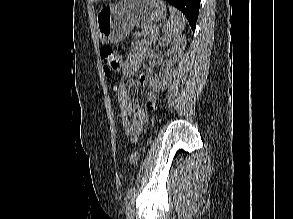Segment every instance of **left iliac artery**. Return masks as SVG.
I'll return each instance as SVG.
<instances>
[{"label": "left iliac artery", "mask_w": 293, "mask_h": 219, "mask_svg": "<svg viewBox=\"0 0 293 219\" xmlns=\"http://www.w3.org/2000/svg\"><path fill=\"white\" fill-rule=\"evenodd\" d=\"M133 190H134V187H131L127 193V196L125 197V201L128 202L130 200V198L132 197L133 195Z\"/></svg>", "instance_id": "1"}]
</instances>
